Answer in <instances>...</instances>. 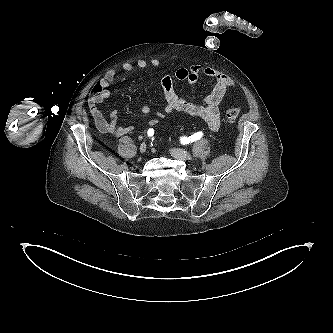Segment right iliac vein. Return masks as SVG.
<instances>
[{"label": "right iliac vein", "instance_id": "right-iliac-vein-1", "mask_svg": "<svg viewBox=\"0 0 333 333\" xmlns=\"http://www.w3.org/2000/svg\"><path fill=\"white\" fill-rule=\"evenodd\" d=\"M146 149H147L146 144L143 143V144H141V146H140V148H139V151H140L141 153H144V152L146 151Z\"/></svg>", "mask_w": 333, "mask_h": 333}]
</instances>
